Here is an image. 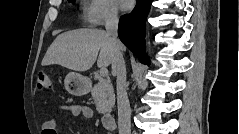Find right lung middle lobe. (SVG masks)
<instances>
[{
  "label": "right lung middle lobe",
  "instance_id": "1",
  "mask_svg": "<svg viewBox=\"0 0 239 134\" xmlns=\"http://www.w3.org/2000/svg\"><path fill=\"white\" fill-rule=\"evenodd\" d=\"M69 2H74V0H68Z\"/></svg>",
  "mask_w": 239,
  "mask_h": 134
}]
</instances>
